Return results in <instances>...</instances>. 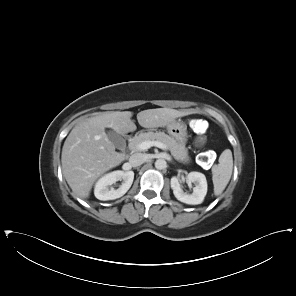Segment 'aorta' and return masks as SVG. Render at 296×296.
I'll return each instance as SVG.
<instances>
[{
  "mask_svg": "<svg viewBox=\"0 0 296 296\" xmlns=\"http://www.w3.org/2000/svg\"><path fill=\"white\" fill-rule=\"evenodd\" d=\"M167 166V162L164 160V159H157L155 161V167L156 169L158 170H162V169H165Z\"/></svg>",
  "mask_w": 296,
  "mask_h": 296,
  "instance_id": "obj_1",
  "label": "aorta"
}]
</instances>
